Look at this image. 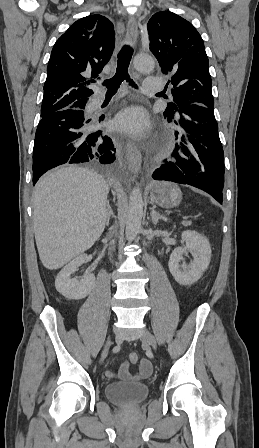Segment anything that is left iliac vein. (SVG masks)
<instances>
[{
	"mask_svg": "<svg viewBox=\"0 0 259 448\" xmlns=\"http://www.w3.org/2000/svg\"><path fill=\"white\" fill-rule=\"evenodd\" d=\"M141 340L147 344H149L154 350L156 349V340L155 337L148 331L144 330Z\"/></svg>",
	"mask_w": 259,
	"mask_h": 448,
	"instance_id": "4c4485c4",
	"label": "left iliac vein"
}]
</instances>
